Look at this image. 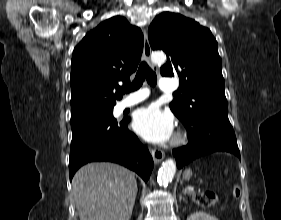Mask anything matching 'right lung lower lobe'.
I'll return each mask as SVG.
<instances>
[{
  "mask_svg": "<svg viewBox=\"0 0 281 220\" xmlns=\"http://www.w3.org/2000/svg\"><path fill=\"white\" fill-rule=\"evenodd\" d=\"M129 119L120 123L107 118L72 128L69 176L84 164L95 161L119 163L139 174L147 182L153 159L137 136L128 130Z\"/></svg>",
  "mask_w": 281,
  "mask_h": 220,
  "instance_id": "1",
  "label": "right lung lower lobe"
}]
</instances>
